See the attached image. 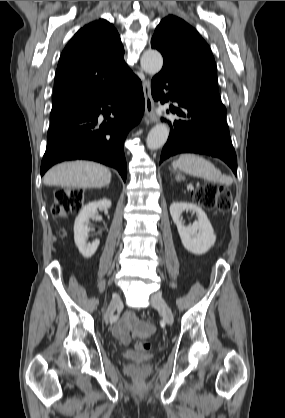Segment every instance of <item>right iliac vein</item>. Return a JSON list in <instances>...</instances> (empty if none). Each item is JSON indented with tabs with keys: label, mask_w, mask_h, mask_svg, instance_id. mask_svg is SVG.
<instances>
[{
	"label": "right iliac vein",
	"mask_w": 285,
	"mask_h": 418,
	"mask_svg": "<svg viewBox=\"0 0 285 418\" xmlns=\"http://www.w3.org/2000/svg\"><path fill=\"white\" fill-rule=\"evenodd\" d=\"M120 296L118 294H115L111 300L110 306L108 308V312L105 316V322L108 323L109 320L112 318V316L114 315L115 310L119 307L120 305Z\"/></svg>",
	"instance_id": "63e3f726"
}]
</instances>
